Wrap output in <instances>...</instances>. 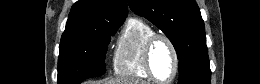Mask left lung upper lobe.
Returning a JSON list of instances; mask_svg holds the SVG:
<instances>
[{
    "mask_svg": "<svg viewBox=\"0 0 260 84\" xmlns=\"http://www.w3.org/2000/svg\"><path fill=\"white\" fill-rule=\"evenodd\" d=\"M169 38L179 59L178 84H210L204 22L195 0H128Z\"/></svg>",
    "mask_w": 260,
    "mask_h": 84,
    "instance_id": "left-lung-upper-lobe-1",
    "label": "left lung upper lobe"
}]
</instances>
